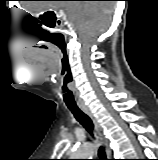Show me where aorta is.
<instances>
[{
    "instance_id": "aorta-1",
    "label": "aorta",
    "mask_w": 158,
    "mask_h": 160,
    "mask_svg": "<svg viewBox=\"0 0 158 160\" xmlns=\"http://www.w3.org/2000/svg\"><path fill=\"white\" fill-rule=\"evenodd\" d=\"M94 146L92 144H83L72 154V159H92Z\"/></svg>"
}]
</instances>
